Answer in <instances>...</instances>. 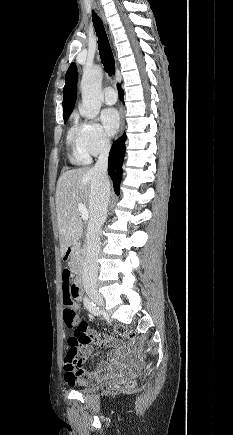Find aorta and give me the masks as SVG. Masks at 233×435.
I'll list each match as a JSON object with an SVG mask.
<instances>
[{
    "mask_svg": "<svg viewBox=\"0 0 233 435\" xmlns=\"http://www.w3.org/2000/svg\"><path fill=\"white\" fill-rule=\"evenodd\" d=\"M103 71L100 67L85 68L81 80L82 105L79 108L81 116L94 119L100 111L103 102L101 84Z\"/></svg>",
    "mask_w": 233,
    "mask_h": 435,
    "instance_id": "aorta-1",
    "label": "aorta"
}]
</instances>
